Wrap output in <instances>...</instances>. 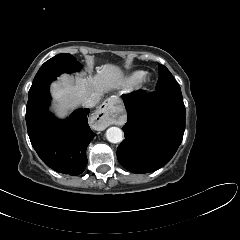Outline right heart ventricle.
Instances as JSON below:
<instances>
[{"mask_svg": "<svg viewBox=\"0 0 240 240\" xmlns=\"http://www.w3.org/2000/svg\"><path fill=\"white\" fill-rule=\"evenodd\" d=\"M144 71H141V70H137V71H134L132 72L128 77H127V82L128 84H136L138 83L141 78L144 76Z\"/></svg>", "mask_w": 240, "mask_h": 240, "instance_id": "right-heart-ventricle-1", "label": "right heart ventricle"}]
</instances>
